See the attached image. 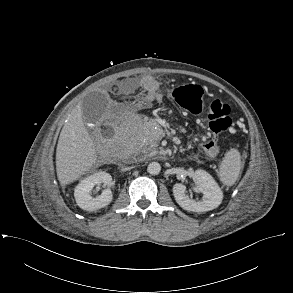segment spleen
I'll use <instances>...</instances> for the list:
<instances>
[{
    "label": "spleen",
    "instance_id": "spleen-1",
    "mask_svg": "<svg viewBox=\"0 0 293 293\" xmlns=\"http://www.w3.org/2000/svg\"><path fill=\"white\" fill-rule=\"evenodd\" d=\"M241 168L240 153L236 149H230L223 158L219 176L226 185H231L237 179Z\"/></svg>",
    "mask_w": 293,
    "mask_h": 293
}]
</instances>
